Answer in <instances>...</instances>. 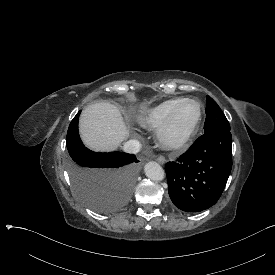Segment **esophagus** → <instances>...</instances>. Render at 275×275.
Masks as SVG:
<instances>
[{"instance_id":"esophagus-1","label":"esophagus","mask_w":275,"mask_h":275,"mask_svg":"<svg viewBox=\"0 0 275 275\" xmlns=\"http://www.w3.org/2000/svg\"><path fill=\"white\" fill-rule=\"evenodd\" d=\"M157 161L160 163V164H164L166 162V158L164 156H159L157 158Z\"/></svg>"}]
</instances>
